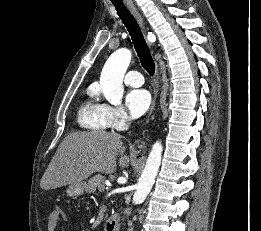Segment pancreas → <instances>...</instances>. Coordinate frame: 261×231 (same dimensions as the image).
Returning a JSON list of instances; mask_svg holds the SVG:
<instances>
[{"mask_svg": "<svg viewBox=\"0 0 261 231\" xmlns=\"http://www.w3.org/2000/svg\"><path fill=\"white\" fill-rule=\"evenodd\" d=\"M103 187H105L104 176L98 174L88 180V183L85 187V191L86 193L91 194L94 193L97 188L100 189Z\"/></svg>", "mask_w": 261, "mask_h": 231, "instance_id": "obj_1", "label": "pancreas"}]
</instances>
